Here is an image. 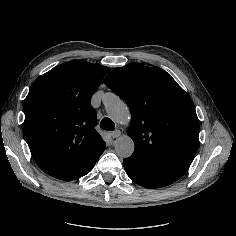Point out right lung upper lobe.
<instances>
[{
    "instance_id": "right-lung-upper-lobe-1",
    "label": "right lung upper lobe",
    "mask_w": 236,
    "mask_h": 236,
    "mask_svg": "<svg viewBox=\"0 0 236 236\" xmlns=\"http://www.w3.org/2000/svg\"><path fill=\"white\" fill-rule=\"evenodd\" d=\"M108 67L64 63L38 77L24 101V135L38 165L71 181L105 150L90 105Z\"/></svg>"
}]
</instances>
